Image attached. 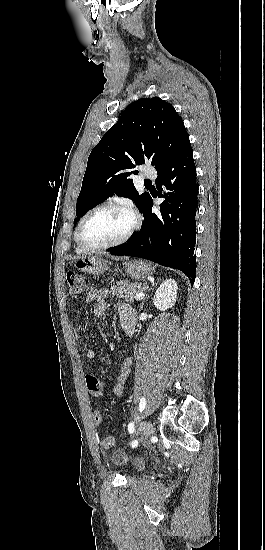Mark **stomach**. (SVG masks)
I'll return each mask as SVG.
<instances>
[{
	"label": "stomach",
	"instance_id": "1",
	"mask_svg": "<svg viewBox=\"0 0 265 550\" xmlns=\"http://www.w3.org/2000/svg\"><path fill=\"white\" fill-rule=\"evenodd\" d=\"M74 266L82 272L98 275L108 269V261L101 255L95 254L77 259ZM125 270L135 280L145 279L154 272L152 265L142 260L125 262Z\"/></svg>",
	"mask_w": 265,
	"mask_h": 550
}]
</instances>
